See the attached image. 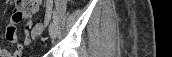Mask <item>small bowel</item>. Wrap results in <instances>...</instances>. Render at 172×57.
Listing matches in <instances>:
<instances>
[{"mask_svg":"<svg viewBox=\"0 0 172 57\" xmlns=\"http://www.w3.org/2000/svg\"><path fill=\"white\" fill-rule=\"evenodd\" d=\"M42 5L41 0H24L17 3L16 9L11 14L10 22L6 27V38L16 44V48L13 51L0 47V57H20L22 50L27 46L32 39H35L40 35L36 31H31L33 15L37 13ZM23 19H27L25 25V35L19 37L17 34V24Z\"/></svg>","mask_w":172,"mask_h":57,"instance_id":"small-bowel-1","label":"small bowel"}]
</instances>
